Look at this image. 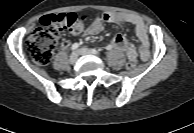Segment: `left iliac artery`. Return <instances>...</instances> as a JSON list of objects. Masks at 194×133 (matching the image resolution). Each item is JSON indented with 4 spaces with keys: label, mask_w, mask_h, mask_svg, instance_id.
<instances>
[{
    "label": "left iliac artery",
    "mask_w": 194,
    "mask_h": 133,
    "mask_svg": "<svg viewBox=\"0 0 194 133\" xmlns=\"http://www.w3.org/2000/svg\"><path fill=\"white\" fill-rule=\"evenodd\" d=\"M91 51H92L94 54H99V52H98L96 49H91Z\"/></svg>",
    "instance_id": "1"
}]
</instances>
